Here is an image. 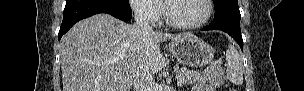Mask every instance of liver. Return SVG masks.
<instances>
[{
	"label": "liver",
	"mask_w": 304,
	"mask_h": 91,
	"mask_svg": "<svg viewBox=\"0 0 304 91\" xmlns=\"http://www.w3.org/2000/svg\"><path fill=\"white\" fill-rule=\"evenodd\" d=\"M190 33L142 34L109 14L75 24L60 41L63 91H130L137 70L157 73L166 66L159 43Z\"/></svg>",
	"instance_id": "obj_1"
}]
</instances>
